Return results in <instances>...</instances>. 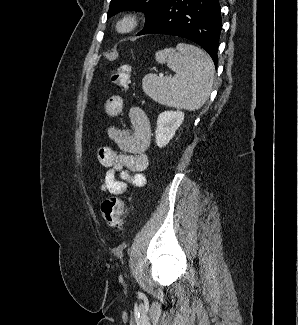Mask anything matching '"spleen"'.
<instances>
[{"instance_id": "spleen-1", "label": "spleen", "mask_w": 298, "mask_h": 325, "mask_svg": "<svg viewBox=\"0 0 298 325\" xmlns=\"http://www.w3.org/2000/svg\"><path fill=\"white\" fill-rule=\"evenodd\" d=\"M157 62L174 70V76H157L154 72L142 78V88L152 100L171 108L198 110L206 102L213 86L214 64L211 56L194 46L178 42L175 48H163L155 54Z\"/></svg>"}]
</instances>
